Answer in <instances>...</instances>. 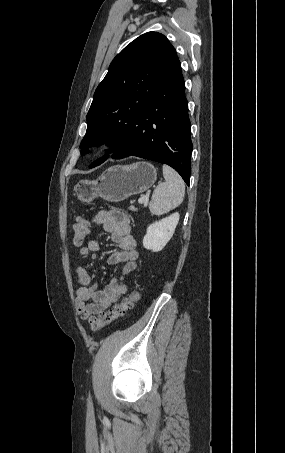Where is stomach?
I'll list each match as a JSON object with an SVG mask.
<instances>
[{
	"mask_svg": "<svg viewBox=\"0 0 285 453\" xmlns=\"http://www.w3.org/2000/svg\"><path fill=\"white\" fill-rule=\"evenodd\" d=\"M155 167L148 162L114 165L96 180H80L75 193L82 202L101 197L108 202H121L132 195L147 191L156 181Z\"/></svg>",
	"mask_w": 285,
	"mask_h": 453,
	"instance_id": "stomach-1",
	"label": "stomach"
}]
</instances>
